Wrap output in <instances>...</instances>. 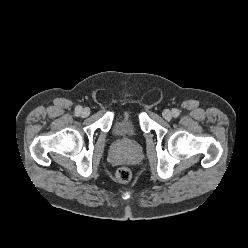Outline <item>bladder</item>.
<instances>
[{"mask_svg": "<svg viewBox=\"0 0 248 248\" xmlns=\"http://www.w3.org/2000/svg\"><path fill=\"white\" fill-rule=\"evenodd\" d=\"M112 132L120 138H132L137 134V126L130 116H119L112 123Z\"/></svg>", "mask_w": 248, "mask_h": 248, "instance_id": "1", "label": "bladder"}]
</instances>
